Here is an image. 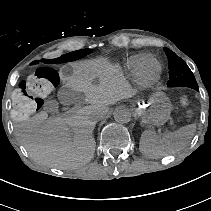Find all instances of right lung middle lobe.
<instances>
[{"mask_svg":"<svg viewBox=\"0 0 211 211\" xmlns=\"http://www.w3.org/2000/svg\"><path fill=\"white\" fill-rule=\"evenodd\" d=\"M92 51H93L92 49H82V50L70 52L65 55H62L59 58L54 59L53 62L54 63H62V62L75 61L77 59H80V58L90 54Z\"/></svg>","mask_w":211,"mask_h":211,"instance_id":"dd1d6c3e","label":"right lung middle lobe"}]
</instances>
